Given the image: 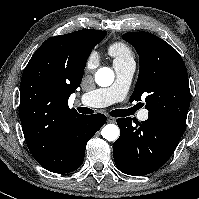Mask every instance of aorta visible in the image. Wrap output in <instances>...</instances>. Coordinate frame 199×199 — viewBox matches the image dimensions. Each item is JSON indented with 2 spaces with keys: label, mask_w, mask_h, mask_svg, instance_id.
Instances as JSON below:
<instances>
[{
  "label": "aorta",
  "mask_w": 199,
  "mask_h": 199,
  "mask_svg": "<svg viewBox=\"0 0 199 199\" xmlns=\"http://www.w3.org/2000/svg\"><path fill=\"white\" fill-rule=\"evenodd\" d=\"M95 81L101 87L110 86L114 81V72L108 67L100 68L95 74ZM102 136L108 141L118 139L120 131L117 125L107 124L102 129Z\"/></svg>",
  "instance_id": "aorta-1"
}]
</instances>
